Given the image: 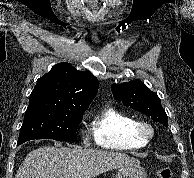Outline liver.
<instances>
[{
	"instance_id": "obj_1",
	"label": "liver",
	"mask_w": 194,
	"mask_h": 178,
	"mask_svg": "<svg viewBox=\"0 0 194 178\" xmlns=\"http://www.w3.org/2000/svg\"><path fill=\"white\" fill-rule=\"evenodd\" d=\"M133 165H140L139 160L125 153L45 146L26 156L15 178H93Z\"/></svg>"
}]
</instances>
